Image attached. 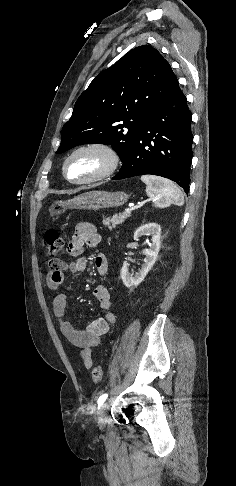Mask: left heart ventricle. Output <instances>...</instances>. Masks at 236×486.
Listing matches in <instances>:
<instances>
[{"mask_svg":"<svg viewBox=\"0 0 236 486\" xmlns=\"http://www.w3.org/2000/svg\"><path fill=\"white\" fill-rule=\"evenodd\" d=\"M105 165L104 156L97 151H84L75 155L67 167L68 176L73 180L89 178L100 172Z\"/></svg>","mask_w":236,"mask_h":486,"instance_id":"b2bd125f","label":"left heart ventricle"}]
</instances>
